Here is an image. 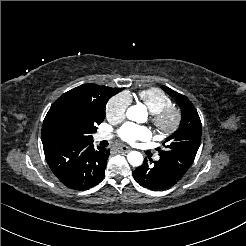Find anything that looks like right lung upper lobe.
<instances>
[{
  "instance_id": "cb5924a9",
  "label": "right lung upper lobe",
  "mask_w": 246,
  "mask_h": 246,
  "mask_svg": "<svg viewBox=\"0 0 246 246\" xmlns=\"http://www.w3.org/2000/svg\"><path fill=\"white\" fill-rule=\"evenodd\" d=\"M123 88H110L96 84H83L60 96L49 109L42 127V142L45 140V129L48 123L65 108L78 110L102 109L113 95Z\"/></svg>"
}]
</instances>
